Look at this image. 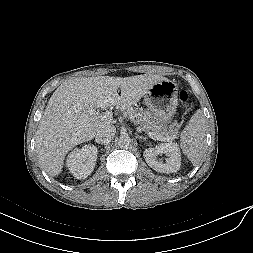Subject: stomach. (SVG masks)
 Listing matches in <instances>:
<instances>
[{
    "instance_id": "stomach-1",
    "label": "stomach",
    "mask_w": 253,
    "mask_h": 253,
    "mask_svg": "<svg viewBox=\"0 0 253 253\" xmlns=\"http://www.w3.org/2000/svg\"><path fill=\"white\" fill-rule=\"evenodd\" d=\"M144 100L152 115L167 126L176 113L178 85L169 79L157 82L144 96Z\"/></svg>"
}]
</instances>
